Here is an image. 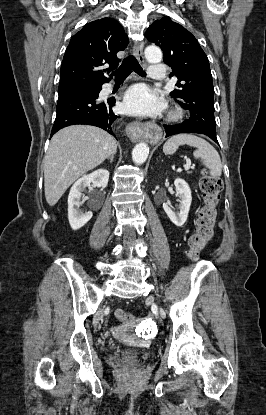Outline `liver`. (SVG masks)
<instances>
[{"label": "liver", "mask_w": 266, "mask_h": 415, "mask_svg": "<svg viewBox=\"0 0 266 415\" xmlns=\"http://www.w3.org/2000/svg\"><path fill=\"white\" fill-rule=\"evenodd\" d=\"M116 149L114 137L98 127L72 125L58 131L43 161L47 203L54 206L71 184L115 154Z\"/></svg>", "instance_id": "1"}]
</instances>
